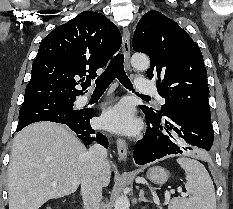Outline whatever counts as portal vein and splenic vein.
<instances>
[{"label": "portal vein and splenic vein", "instance_id": "1", "mask_svg": "<svg viewBox=\"0 0 233 209\" xmlns=\"http://www.w3.org/2000/svg\"><path fill=\"white\" fill-rule=\"evenodd\" d=\"M56 184H57L56 182L51 183L52 186H56ZM178 192H180L182 196H186V194L182 192L181 188L178 189ZM169 200H170V193L166 192L165 204H167Z\"/></svg>", "mask_w": 233, "mask_h": 209}]
</instances>
